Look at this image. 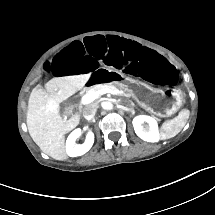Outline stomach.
I'll return each instance as SVG.
<instances>
[{
	"instance_id": "obj_1",
	"label": "stomach",
	"mask_w": 215,
	"mask_h": 215,
	"mask_svg": "<svg viewBox=\"0 0 215 215\" xmlns=\"http://www.w3.org/2000/svg\"><path fill=\"white\" fill-rule=\"evenodd\" d=\"M121 88L139 104L156 114H172L177 111L182 104V97L176 91L167 94L165 90L150 89L146 85L133 80L122 83Z\"/></svg>"
}]
</instances>
